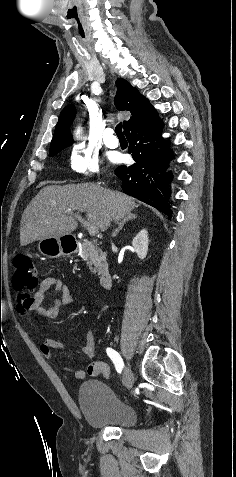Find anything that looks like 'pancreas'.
I'll use <instances>...</instances> for the list:
<instances>
[{
    "mask_svg": "<svg viewBox=\"0 0 236 477\" xmlns=\"http://www.w3.org/2000/svg\"><path fill=\"white\" fill-rule=\"evenodd\" d=\"M81 257L86 261L89 269L94 273L100 275L106 264L105 257L102 251L92 242L85 240L81 246Z\"/></svg>",
    "mask_w": 236,
    "mask_h": 477,
    "instance_id": "obj_1",
    "label": "pancreas"
}]
</instances>
